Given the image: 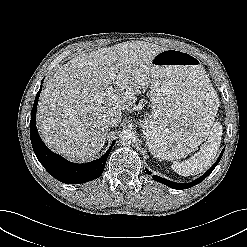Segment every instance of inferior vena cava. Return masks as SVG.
<instances>
[{
  "mask_svg": "<svg viewBox=\"0 0 247 247\" xmlns=\"http://www.w3.org/2000/svg\"><path fill=\"white\" fill-rule=\"evenodd\" d=\"M121 122V115L118 113L111 114L106 118V124L110 127L117 126Z\"/></svg>",
  "mask_w": 247,
  "mask_h": 247,
  "instance_id": "obj_1",
  "label": "inferior vena cava"
}]
</instances>
